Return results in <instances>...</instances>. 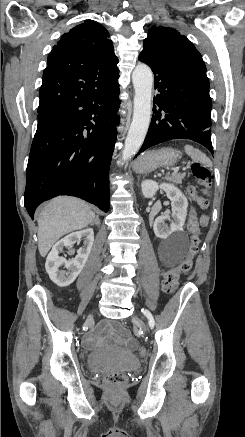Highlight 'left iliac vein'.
Wrapping results in <instances>:
<instances>
[{"instance_id": "1", "label": "left iliac vein", "mask_w": 245, "mask_h": 437, "mask_svg": "<svg viewBox=\"0 0 245 437\" xmlns=\"http://www.w3.org/2000/svg\"><path fill=\"white\" fill-rule=\"evenodd\" d=\"M133 322H134L138 327H140L141 329H143L145 332L147 331V328H146L144 322H143L141 319H139L138 317H133Z\"/></svg>"}]
</instances>
